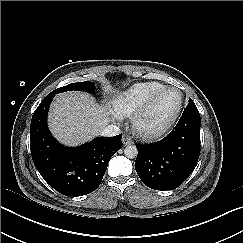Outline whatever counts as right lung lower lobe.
<instances>
[{"instance_id":"right-lung-lower-lobe-1","label":"right lung lower lobe","mask_w":243,"mask_h":243,"mask_svg":"<svg viewBox=\"0 0 243 243\" xmlns=\"http://www.w3.org/2000/svg\"><path fill=\"white\" fill-rule=\"evenodd\" d=\"M54 93L35 110L30 126L31 154L43 179L65 196H82L100 185L110 158L122 148L119 134L98 137L76 148L59 144L47 127V114Z\"/></svg>"}]
</instances>
